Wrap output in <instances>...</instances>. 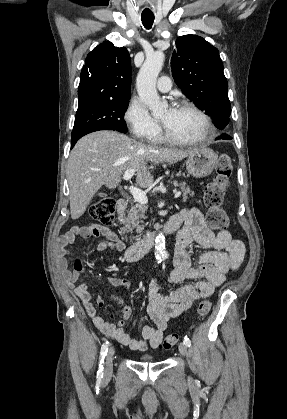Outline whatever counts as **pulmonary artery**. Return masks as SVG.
<instances>
[{"mask_svg": "<svg viewBox=\"0 0 287 419\" xmlns=\"http://www.w3.org/2000/svg\"><path fill=\"white\" fill-rule=\"evenodd\" d=\"M156 86L160 92H168L172 86L170 77L166 75L161 76Z\"/></svg>", "mask_w": 287, "mask_h": 419, "instance_id": "1", "label": "pulmonary artery"}]
</instances>
